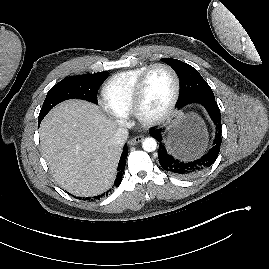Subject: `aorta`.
Segmentation results:
<instances>
[{
	"instance_id": "aorta-1",
	"label": "aorta",
	"mask_w": 269,
	"mask_h": 269,
	"mask_svg": "<svg viewBox=\"0 0 269 269\" xmlns=\"http://www.w3.org/2000/svg\"><path fill=\"white\" fill-rule=\"evenodd\" d=\"M142 147L146 152H153L157 148V142L154 138H145L142 142Z\"/></svg>"
}]
</instances>
